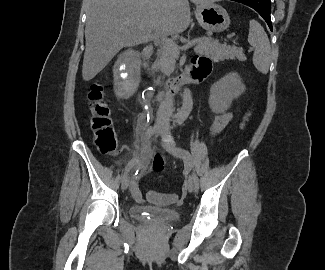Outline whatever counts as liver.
<instances>
[{"mask_svg":"<svg viewBox=\"0 0 325 270\" xmlns=\"http://www.w3.org/2000/svg\"><path fill=\"white\" fill-rule=\"evenodd\" d=\"M190 22L188 0H88L83 80L93 79L122 48L182 33Z\"/></svg>","mask_w":325,"mask_h":270,"instance_id":"6515ba94","label":"liver"}]
</instances>
